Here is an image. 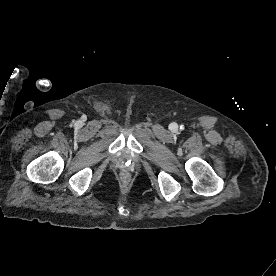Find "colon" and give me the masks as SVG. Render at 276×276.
<instances>
[{
	"label": "colon",
	"instance_id": "obj_1",
	"mask_svg": "<svg viewBox=\"0 0 276 276\" xmlns=\"http://www.w3.org/2000/svg\"><path fill=\"white\" fill-rule=\"evenodd\" d=\"M122 176H123L124 178H126V174H125V173H123Z\"/></svg>",
	"mask_w": 276,
	"mask_h": 276
}]
</instances>
